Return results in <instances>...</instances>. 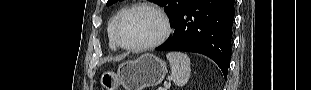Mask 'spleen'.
Returning a JSON list of instances; mask_svg holds the SVG:
<instances>
[{"label": "spleen", "mask_w": 311, "mask_h": 90, "mask_svg": "<svg viewBox=\"0 0 311 90\" xmlns=\"http://www.w3.org/2000/svg\"><path fill=\"white\" fill-rule=\"evenodd\" d=\"M171 67V76L176 86H184L190 77V58L181 52H170L166 55Z\"/></svg>", "instance_id": "1"}]
</instances>
